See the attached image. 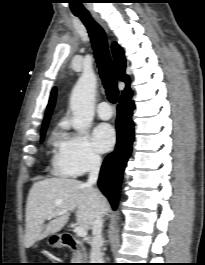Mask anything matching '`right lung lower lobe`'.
Segmentation results:
<instances>
[{
    "label": "right lung lower lobe",
    "instance_id": "98d812e1",
    "mask_svg": "<svg viewBox=\"0 0 205 265\" xmlns=\"http://www.w3.org/2000/svg\"><path fill=\"white\" fill-rule=\"evenodd\" d=\"M133 109V101L130 99L120 100L117 106L116 148L105 158L98 180L99 188L108 198L114 210L118 205L123 171L131 154L134 140L133 122L131 119Z\"/></svg>",
    "mask_w": 205,
    "mask_h": 265
}]
</instances>
